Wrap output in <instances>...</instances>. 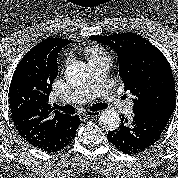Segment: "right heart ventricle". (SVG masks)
I'll return each instance as SVG.
<instances>
[{
	"mask_svg": "<svg viewBox=\"0 0 178 178\" xmlns=\"http://www.w3.org/2000/svg\"><path fill=\"white\" fill-rule=\"evenodd\" d=\"M85 56L87 60L93 59V58H108L106 54H104L102 51L98 49H89L85 52Z\"/></svg>",
	"mask_w": 178,
	"mask_h": 178,
	"instance_id": "obj_1",
	"label": "right heart ventricle"
}]
</instances>
